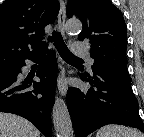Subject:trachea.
<instances>
[{"mask_svg":"<svg viewBox=\"0 0 144 137\" xmlns=\"http://www.w3.org/2000/svg\"><path fill=\"white\" fill-rule=\"evenodd\" d=\"M49 41H54V45L57 48L60 56L65 60H80L81 58L74 56L68 47L66 46L65 42L63 41V38L61 36V33L58 31H53L52 36L49 37Z\"/></svg>","mask_w":144,"mask_h":137,"instance_id":"trachea-1","label":"trachea"}]
</instances>
